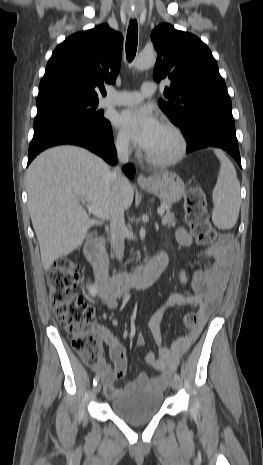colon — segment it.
<instances>
[{"instance_id": "colon-1", "label": "colon", "mask_w": 263, "mask_h": 465, "mask_svg": "<svg viewBox=\"0 0 263 465\" xmlns=\"http://www.w3.org/2000/svg\"><path fill=\"white\" fill-rule=\"evenodd\" d=\"M184 207L186 222L196 242L202 246L213 244L216 233L209 223L206 196L201 187L193 186L186 191ZM81 281V269L71 258L56 261L47 275L58 322L73 338V347L82 360L91 367H100L101 336L94 326V308L77 292ZM199 322L200 317L195 312H189L183 318V325L189 331L195 330Z\"/></svg>"}]
</instances>
